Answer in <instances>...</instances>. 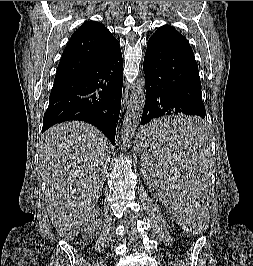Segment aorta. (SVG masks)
I'll use <instances>...</instances> for the list:
<instances>
[{"label": "aorta", "mask_w": 253, "mask_h": 266, "mask_svg": "<svg viewBox=\"0 0 253 266\" xmlns=\"http://www.w3.org/2000/svg\"><path fill=\"white\" fill-rule=\"evenodd\" d=\"M145 78L137 79L136 84L130 96V103L124 116L121 129V138L123 141H129L135 134L136 127L139 124L144 104H145Z\"/></svg>", "instance_id": "1"}]
</instances>
